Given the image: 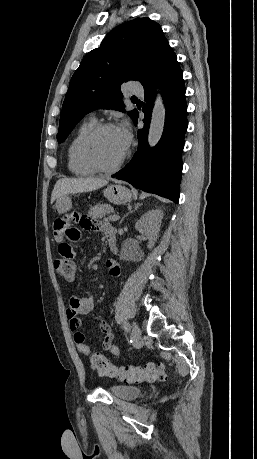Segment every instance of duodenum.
<instances>
[{"label": "duodenum", "mask_w": 257, "mask_h": 459, "mask_svg": "<svg viewBox=\"0 0 257 459\" xmlns=\"http://www.w3.org/2000/svg\"><path fill=\"white\" fill-rule=\"evenodd\" d=\"M105 235L107 237V240L109 242V245L111 247V249H115L116 247V242H117V237H116V234L114 231L112 230H107L105 232Z\"/></svg>", "instance_id": "1"}]
</instances>
